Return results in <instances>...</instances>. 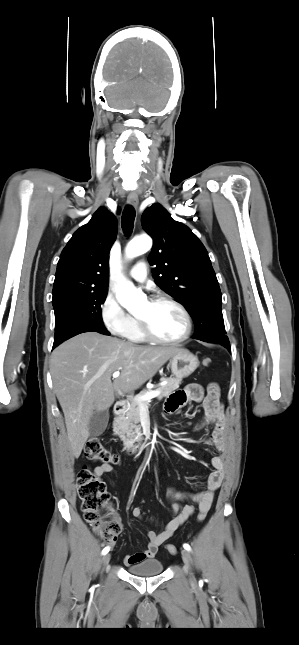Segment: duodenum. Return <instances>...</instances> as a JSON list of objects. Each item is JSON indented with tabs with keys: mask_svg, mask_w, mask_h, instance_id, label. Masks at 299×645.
<instances>
[{
	"mask_svg": "<svg viewBox=\"0 0 299 645\" xmlns=\"http://www.w3.org/2000/svg\"><path fill=\"white\" fill-rule=\"evenodd\" d=\"M125 404L123 402H116L113 408V412L115 415H121L125 411ZM147 444L145 442L139 443V444H134V445H127L126 446V451L130 454H135L143 451L146 448Z\"/></svg>",
	"mask_w": 299,
	"mask_h": 645,
	"instance_id": "410a0bca",
	"label": "duodenum"
}]
</instances>
